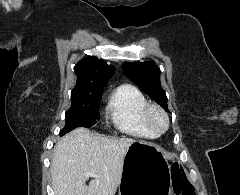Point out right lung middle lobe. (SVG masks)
I'll list each match as a JSON object with an SVG mask.
<instances>
[{
	"label": "right lung middle lobe",
	"instance_id": "1",
	"mask_svg": "<svg viewBox=\"0 0 240 195\" xmlns=\"http://www.w3.org/2000/svg\"><path fill=\"white\" fill-rule=\"evenodd\" d=\"M101 98L87 97L71 99V107L65 113L66 125L61 134L70 132L76 127L89 128L100 119L99 105Z\"/></svg>",
	"mask_w": 240,
	"mask_h": 195
}]
</instances>
